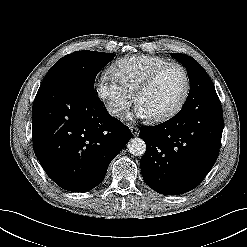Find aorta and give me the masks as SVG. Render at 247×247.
Masks as SVG:
<instances>
[{"label": "aorta", "mask_w": 247, "mask_h": 247, "mask_svg": "<svg viewBox=\"0 0 247 247\" xmlns=\"http://www.w3.org/2000/svg\"><path fill=\"white\" fill-rule=\"evenodd\" d=\"M128 151L134 156H143L146 151V144L143 139L139 137L132 138L128 144Z\"/></svg>", "instance_id": "aorta-1"}]
</instances>
